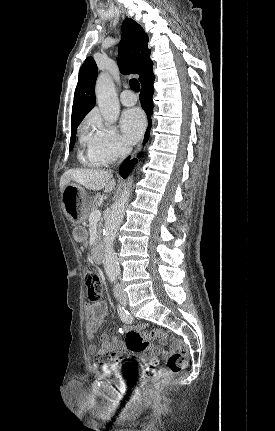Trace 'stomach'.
Here are the masks:
<instances>
[{
    "label": "stomach",
    "instance_id": "stomach-1",
    "mask_svg": "<svg viewBox=\"0 0 275 431\" xmlns=\"http://www.w3.org/2000/svg\"><path fill=\"white\" fill-rule=\"evenodd\" d=\"M63 209L73 224H80L86 218L90 200L83 187L76 183L67 184L62 191Z\"/></svg>",
    "mask_w": 275,
    "mask_h": 431
}]
</instances>
